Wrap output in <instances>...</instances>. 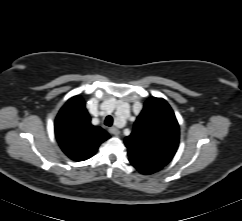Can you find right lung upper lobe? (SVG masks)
Returning a JSON list of instances; mask_svg holds the SVG:
<instances>
[{
	"label": "right lung upper lobe",
	"mask_w": 242,
	"mask_h": 221,
	"mask_svg": "<svg viewBox=\"0 0 242 221\" xmlns=\"http://www.w3.org/2000/svg\"><path fill=\"white\" fill-rule=\"evenodd\" d=\"M55 135L63 152L75 161L92 157L99 145L110 138L101 127L91 124L85 103L79 96L71 98L59 111Z\"/></svg>",
	"instance_id": "cb5924a9"
}]
</instances>
